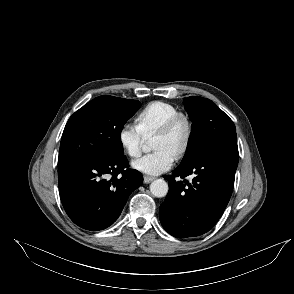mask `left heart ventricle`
I'll return each mask as SVG.
<instances>
[{"instance_id":"obj_1","label":"left heart ventricle","mask_w":294,"mask_h":294,"mask_svg":"<svg viewBox=\"0 0 294 294\" xmlns=\"http://www.w3.org/2000/svg\"><path fill=\"white\" fill-rule=\"evenodd\" d=\"M185 134L183 125H179L171 134L168 135H155L154 136V149L165 148L176 153L178 147L181 145Z\"/></svg>"}]
</instances>
